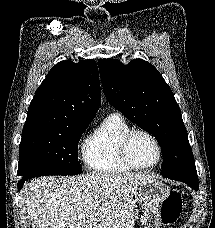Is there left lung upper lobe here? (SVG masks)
I'll return each mask as SVG.
<instances>
[{"instance_id": "obj_1", "label": "left lung upper lobe", "mask_w": 215, "mask_h": 228, "mask_svg": "<svg viewBox=\"0 0 215 228\" xmlns=\"http://www.w3.org/2000/svg\"><path fill=\"white\" fill-rule=\"evenodd\" d=\"M98 65L109 103L161 146L162 176L196 168L180 108L157 69L142 59L128 65L103 59Z\"/></svg>"}]
</instances>
